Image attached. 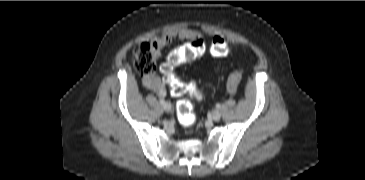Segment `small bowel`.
I'll return each instance as SVG.
<instances>
[{"mask_svg": "<svg viewBox=\"0 0 365 180\" xmlns=\"http://www.w3.org/2000/svg\"><path fill=\"white\" fill-rule=\"evenodd\" d=\"M199 33L195 30L191 29H183L175 33L167 34L159 39L153 40L150 44L156 52V55H159L160 52L168 46L173 39L178 38L179 40H194L197 39ZM145 85L151 90L157 92L158 94H164L165 86L162 79L156 75L147 76L144 79Z\"/></svg>", "mask_w": 365, "mask_h": 180, "instance_id": "c3829d8e", "label": "small bowel"}]
</instances>
